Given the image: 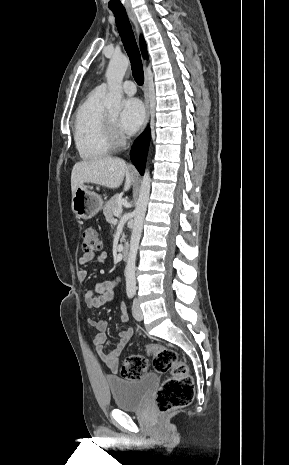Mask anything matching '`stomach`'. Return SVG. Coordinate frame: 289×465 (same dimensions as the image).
<instances>
[{"mask_svg": "<svg viewBox=\"0 0 289 465\" xmlns=\"http://www.w3.org/2000/svg\"><path fill=\"white\" fill-rule=\"evenodd\" d=\"M72 211L80 219L93 218L103 207L100 195L91 190L88 185H80L72 195Z\"/></svg>", "mask_w": 289, "mask_h": 465, "instance_id": "obj_1", "label": "stomach"}]
</instances>
